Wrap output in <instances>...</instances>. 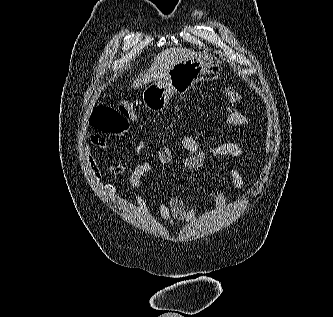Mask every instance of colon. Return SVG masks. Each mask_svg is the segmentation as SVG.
<instances>
[{
    "label": "colon",
    "mask_w": 333,
    "mask_h": 317,
    "mask_svg": "<svg viewBox=\"0 0 333 317\" xmlns=\"http://www.w3.org/2000/svg\"><path fill=\"white\" fill-rule=\"evenodd\" d=\"M225 94L230 102H237L242 95L227 89ZM137 121V114L130 102H123L117 107L98 106L90 116V125L100 133L124 136L131 130L132 123Z\"/></svg>",
    "instance_id": "1"
}]
</instances>
